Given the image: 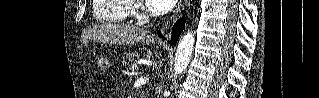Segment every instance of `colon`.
Returning a JSON list of instances; mask_svg holds the SVG:
<instances>
[{"mask_svg": "<svg viewBox=\"0 0 319 98\" xmlns=\"http://www.w3.org/2000/svg\"><path fill=\"white\" fill-rule=\"evenodd\" d=\"M95 62L100 69H106L108 62L105 57L95 54Z\"/></svg>", "mask_w": 319, "mask_h": 98, "instance_id": "obj_1", "label": "colon"}]
</instances>
